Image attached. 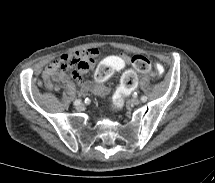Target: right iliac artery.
Returning a JSON list of instances; mask_svg holds the SVG:
<instances>
[{
    "instance_id": "obj_1",
    "label": "right iliac artery",
    "mask_w": 215,
    "mask_h": 183,
    "mask_svg": "<svg viewBox=\"0 0 215 183\" xmlns=\"http://www.w3.org/2000/svg\"><path fill=\"white\" fill-rule=\"evenodd\" d=\"M81 103V100L80 99H76L75 101H74V105H79Z\"/></svg>"
}]
</instances>
